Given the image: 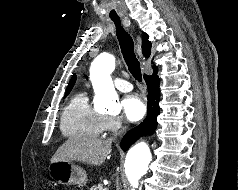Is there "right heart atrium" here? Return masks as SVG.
<instances>
[{
    "label": "right heart atrium",
    "mask_w": 238,
    "mask_h": 190,
    "mask_svg": "<svg viewBox=\"0 0 238 190\" xmlns=\"http://www.w3.org/2000/svg\"><path fill=\"white\" fill-rule=\"evenodd\" d=\"M123 127L122 119L118 116H106L105 130L115 132Z\"/></svg>",
    "instance_id": "obj_1"
}]
</instances>
